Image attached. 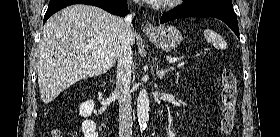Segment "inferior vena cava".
I'll list each match as a JSON object with an SVG mask.
<instances>
[{
    "label": "inferior vena cava",
    "instance_id": "602c4592",
    "mask_svg": "<svg viewBox=\"0 0 280 137\" xmlns=\"http://www.w3.org/2000/svg\"><path fill=\"white\" fill-rule=\"evenodd\" d=\"M133 14L122 19L124 34L119 50L116 93L119 101V137L132 136V102H131V68H132V50L130 36L133 33L132 20Z\"/></svg>",
    "mask_w": 280,
    "mask_h": 137
}]
</instances>
